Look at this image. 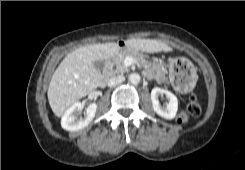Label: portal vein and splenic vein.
<instances>
[{
  "mask_svg": "<svg viewBox=\"0 0 245 170\" xmlns=\"http://www.w3.org/2000/svg\"><path fill=\"white\" fill-rule=\"evenodd\" d=\"M135 62L136 61L133 58H131V57H126L125 60H124V64L126 66H130V65L134 64Z\"/></svg>",
  "mask_w": 245,
  "mask_h": 170,
  "instance_id": "obj_1",
  "label": "portal vein and splenic vein"
}]
</instances>
